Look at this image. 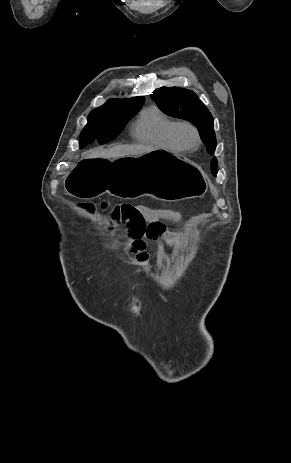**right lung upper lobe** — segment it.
Segmentation results:
<instances>
[{"label": "right lung upper lobe", "mask_w": 291, "mask_h": 463, "mask_svg": "<svg viewBox=\"0 0 291 463\" xmlns=\"http://www.w3.org/2000/svg\"><path fill=\"white\" fill-rule=\"evenodd\" d=\"M144 102V97L140 96V97H135V98H132V99H123V100H119V99H111L109 101H107L106 104L96 108V109H105V108H108V109H125V108H128V107H131V106H134L136 104H140V103H143Z\"/></svg>", "instance_id": "1"}]
</instances>
